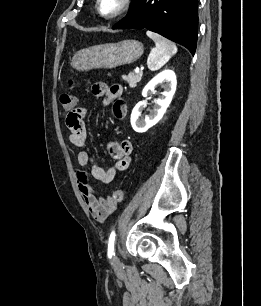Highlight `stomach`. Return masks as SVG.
<instances>
[{
    "mask_svg": "<svg viewBox=\"0 0 261 306\" xmlns=\"http://www.w3.org/2000/svg\"><path fill=\"white\" fill-rule=\"evenodd\" d=\"M144 46L137 40H123L92 46L78 51L71 60L73 68L87 71L97 68L112 69L130 64L141 57Z\"/></svg>",
    "mask_w": 261,
    "mask_h": 306,
    "instance_id": "1",
    "label": "stomach"
}]
</instances>
